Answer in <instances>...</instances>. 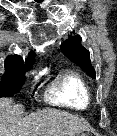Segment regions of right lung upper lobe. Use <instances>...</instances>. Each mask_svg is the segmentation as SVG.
Masks as SVG:
<instances>
[{
  "instance_id": "right-lung-upper-lobe-1",
  "label": "right lung upper lobe",
  "mask_w": 117,
  "mask_h": 136,
  "mask_svg": "<svg viewBox=\"0 0 117 136\" xmlns=\"http://www.w3.org/2000/svg\"><path fill=\"white\" fill-rule=\"evenodd\" d=\"M34 63V53L30 52L25 60L19 55H10L5 60V69H20V68H30Z\"/></svg>"
}]
</instances>
